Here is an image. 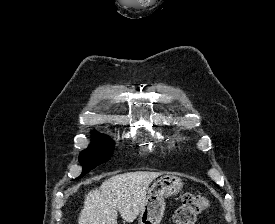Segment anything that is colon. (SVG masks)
Here are the masks:
<instances>
[{
    "mask_svg": "<svg viewBox=\"0 0 275 224\" xmlns=\"http://www.w3.org/2000/svg\"><path fill=\"white\" fill-rule=\"evenodd\" d=\"M208 207L206 197L197 194L186 193L182 196L181 205L173 214L174 224H194L197 216Z\"/></svg>",
    "mask_w": 275,
    "mask_h": 224,
    "instance_id": "obj_1",
    "label": "colon"
}]
</instances>
